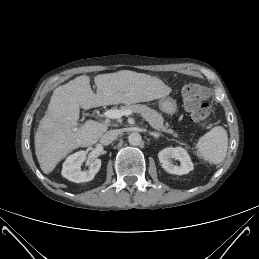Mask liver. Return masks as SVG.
<instances>
[{
    "instance_id": "obj_1",
    "label": "liver",
    "mask_w": 259,
    "mask_h": 259,
    "mask_svg": "<svg viewBox=\"0 0 259 259\" xmlns=\"http://www.w3.org/2000/svg\"><path fill=\"white\" fill-rule=\"evenodd\" d=\"M94 82L96 93L86 75L54 90L34 139L36 157L45 174L52 172L69 152L95 144L107 131V125L94 120L78 126L80 107L130 105L164 97L171 91L160 79L129 70L96 75Z\"/></svg>"
}]
</instances>
